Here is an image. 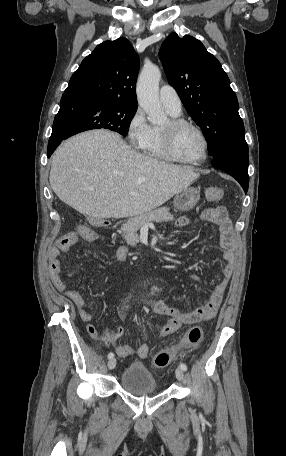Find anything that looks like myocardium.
<instances>
[{
	"instance_id": "myocardium-1",
	"label": "myocardium",
	"mask_w": 286,
	"mask_h": 456,
	"mask_svg": "<svg viewBox=\"0 0 286 456\" xmlns=\"http://www.w3.org/2000/svg\"><path fill=\"white\" fill-rule=\"evenodd\" d=\"M182 128H192L198 132L201 136L203 144H204V151L201 158L196 160H186L179 157L174 151V134L177 130ZM160 140H161V148L165 157L169 160L179 162L186 165H201L203 164L208 156H209V149L210 143L208 140L207 135L203 131V129L198 126L197 124L181 119V118H172L169 121V127L166 129H160Z\"/></svg>"
}]
</instances>
